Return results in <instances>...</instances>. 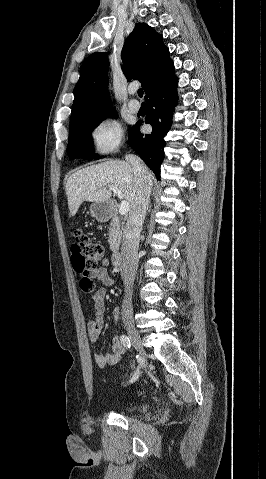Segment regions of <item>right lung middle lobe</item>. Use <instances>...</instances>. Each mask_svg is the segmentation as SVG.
<instances>
[{
  "label": "right lung middle lobe",
  "mask_w": 266,
  "mask_h": 479,
  "mask_svg": "<svg viewBox=\"0 0 266 479\" xmlns=\"http://www.w3.org/2000/svg\"><path fill=\"white\" fill-rule=\"evenodd\" d=\"M111 115H116L114 109L70 122V133L67 146V152L70 159H98L96 155H93V141L91 140V134L93 129L99 125L100 122Z\"/></svg>",
  "instance_id": "1"
}]
</instances>
